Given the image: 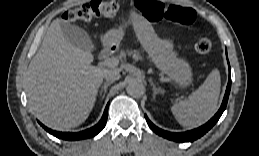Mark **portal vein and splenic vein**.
Wrapping results in <instances>:
<instances>
[{"label": "portal vein and splenic vein", "mask_w": 259, "mask_h": 156, "mask_svg": "<svg viewBox=\"0 0 259 156\" xmlns=\"http://www.w3.org/2000/svg\"><path fill=\"white\" fill-rule=\"evenodd\" d=\"M104 64L107 65L108 67H116L119 64V60L117 58H107L104 61Z\"/></svg>", "instance_id": "obj_1"}]
</instances>
